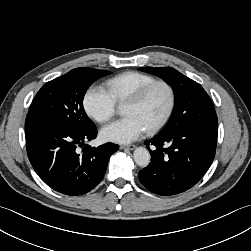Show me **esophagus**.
<instances>
[{
	"label": "esophagus",
	"instance_id": "obj_1",
	"mask_svg": "<svg viewBox=\"0 0 251 251\" xmlns=\"http://www.w3.org/2000/svg\"><path fill=\"white\" fill-rule=\"evenodd\" d=\"M120 149H122V150H133V149H135V145H121Z\"/></svg>",
	"mask_w": 251,
	"mask_h": 251
}]
</instances>
